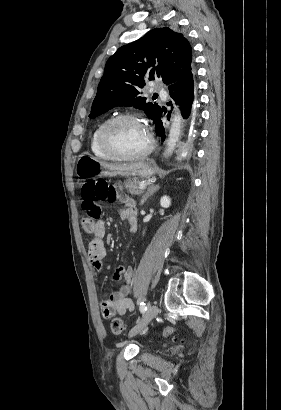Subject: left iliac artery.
<instances>
[{
  "label": "left iliac artery",
  "instance_id": "left-iliac-artery-1",
  "mask_svg": "<svg viewBox=\"0 0 281 410\" xmlns=\"http://www.w3.org/2000/svg\"><path fill=\"white\" fill-rule=\"evenodd\" d=\"M140 311H141V313H145V311L147 310V306H146V304L144 303V301H142L141 303H140Z\"/></svg>",
  "mask_w": 281,
  "mask_h": 410
}]
</instances>
